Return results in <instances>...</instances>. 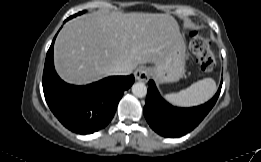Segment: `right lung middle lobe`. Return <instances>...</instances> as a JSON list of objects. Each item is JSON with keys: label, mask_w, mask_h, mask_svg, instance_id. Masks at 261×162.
<instances>
[{"label": "right lung middle lobe", "mask_w": 261, "mask_h": 162, "mask_svg": "<svg viewBox=\"0 0 261 162\" xmlns=\"http://www.w3.org/2000/svg\"><path fill=\"white\" fill-rule=\"evenodd\" d=\"M83 12H80V13H78V14H76V15H79V14H82Z\"/></svg>", "instance_id": "dd1d6c3e"}]
</instances>
